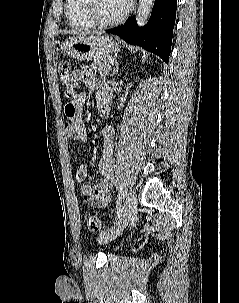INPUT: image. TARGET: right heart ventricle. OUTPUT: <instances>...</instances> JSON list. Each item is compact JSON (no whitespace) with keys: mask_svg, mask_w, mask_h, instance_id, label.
Returning a JSON list of instances; mask_svg holds the SVG:
<instances>
[{"mask_svg":"<svg viewBox=\"0 0 239 303\" xmlns=\"http://www.w3.org/2000/svg\"><path fill=\"white\" fill-rule=\"evenodd\" d=\"M83 4L84 0H65V17L73 29L85 30L94 26L84 13Z\"/></svg>","mask_w":239,"mask_h":303,"instance_id":"obj_1","label":"right heart ventricle"}]
</instances>
